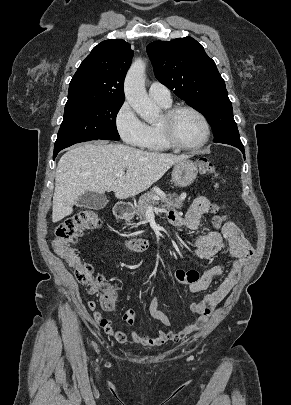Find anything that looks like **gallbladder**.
Wrapping results in <instances>:
<instances>
[{"instance_id": "obj_1", "label": "gallbladder", "mask_w": 291, "mask_h": 405, "mask_svg": "<svg viewBox=\"0 0 291 405\" xmlns=\"http://www.w3.org/2000/svg\"><path fill=\"white\" fill-rule=\"evenodd\" d=\"M108 203L107 197L104 194L95 192H85L82 196L78 197L75 205L79 208H89L93 210H101Z\"/></svg>"}]
</instances>
